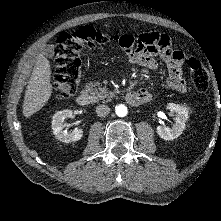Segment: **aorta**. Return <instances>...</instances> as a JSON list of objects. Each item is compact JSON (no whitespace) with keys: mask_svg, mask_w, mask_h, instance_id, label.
<instances>
[{"mask_svg":"<svg viewBox=\"0 0 221 221\" xmlns=\"http://www.w3.org/2000/svg\"><path fill=\"white\" fill-rule=\"evenodd\" d=\"M115 112L117 114V116L119 117H124L127 115L128 113V110H127V107L125 105H118L115 107Z\"/></svg>","mask_w":221,"mask_h":221,"instance_id":"1","label":"aorta"}]
</instances>
